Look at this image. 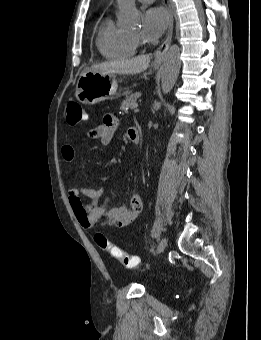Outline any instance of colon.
I'll return each mask as SVG.
<instances>
[{
	"label": "colon",
	"instance_id": "5ec220e1",
	"mask_svg": "<svg viewBox=\"0 0 261 340\" xmlns=\"http://www.w3.org/2000/svg\"><path fill=\"white\" fill-rule=\"evenodd\" d=\"M86 119V113L83 107L77 102H70L66 109V121L69 125L75 126ZM95 243L104 251L108 252L111 257L119 261L127 268H134L139 264L137 256L131 255L120 247L112 244L102 233H96L94 236Z\"/></svg>",
	"mask_w": 261,
	"mask_h": 340
}]
</instances>
